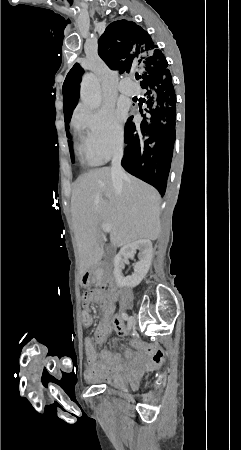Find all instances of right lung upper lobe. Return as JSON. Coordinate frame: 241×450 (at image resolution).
I'll list each match as a JSON object with an SVG mask.
<instances>
[{
	"mask_svg": "<svg viewBox=\"0 0 241 450\" xmlns=\"http://www.w3.org/2000/svg\"><path fill=\"white\" fill-rule=\"evenodd\" d=\"M98 54L112 70H144L166 64V58L151 36L134 22L118 20L107 26L98 40ZM76 63L68 74L83 75Z\"/></svg>",
	"mask_w": 241,
	"mask_h": 450,
	"instance_id": "1",
	"label": "right lung upper lobe"
}]
</instances>
